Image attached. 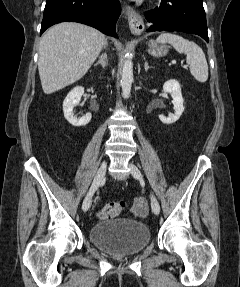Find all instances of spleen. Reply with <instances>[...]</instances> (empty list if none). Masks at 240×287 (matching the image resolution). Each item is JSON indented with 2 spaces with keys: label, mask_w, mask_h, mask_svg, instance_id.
I'll return each instance as SVG.
<instances>
[{
  "label": "spleen",
  "mask_w": 240,
  "mask_h": 287,
  "mask_svg": "<svg viewBox=\"0 0 240 287\" xmlns=\"http://www.w3.org/2000/svg\"><path fill=\"white\" fill-rule=\"evenodd\" d=\"M157 43H170L179 53H184L192 76L204 83L208 79V64L201 47L195 42L189 41L180 35L165 32L159 35Z\"/></svg>",
  "instance_id": "spleen-1"
}]
</instances>
